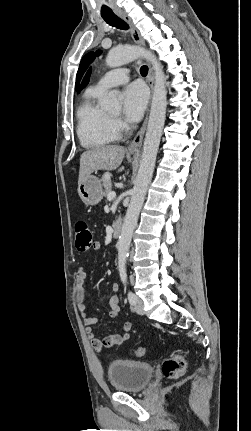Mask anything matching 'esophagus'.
I'll return each mask as SVG.
<instances>
[{
	"instance_id": "34e87169",
	"label": "esophagus",
	"mask_w": 251,
	"mask_h": 431,
	"mask_svg": "<svg viewBox=\"0 0 251 431\" xmlns=\"http://www.w3.org/2000/svg\"><path fill=\"white\" fill-rule=\"evenodd\" d=\"M117 15L122 18L128 25L130 28V34L133 38V40L135 41V43H137L138 45H144V40L141 37L138 29L136 28V26L133 24L132 20L130 17L127 16L126 13L122 12V11H117L116 12ZM148 77H147V81L148 84L150 86L151 89V93L153 91V84H154V75H153V69L150 66V64H148ZM147 122H148V116H146L142 127L140 128V130L138 131V133L136 134V136L134 137L133 141L130 143L128 149L130 151H136L138 149H140L141 145H142V141H143V137H144V133L146 130V126H147Z\"/></svg>"
}]
</instances>
